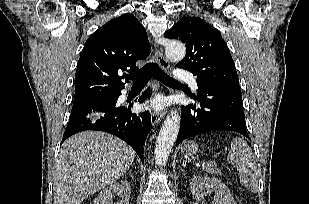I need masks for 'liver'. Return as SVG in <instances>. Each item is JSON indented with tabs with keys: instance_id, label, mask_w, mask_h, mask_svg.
I'll list each match as a JSON object with an SVG mask.
<instances>
[{
	"instance_id": "liver-1",
	"label": "liver",
	"mask_w": 309,
	"mask_h": 204,
	"mask_svg": "<svg viewBox=\"0 0 309 204\" xmlns=\"http://www.w3.org/2000/svg\"><path fill=\"white\" fill-rule=\"evenodd\" d=\"M135 156L129 145L108 133L73 135L62 144L54 166V204H81L125 174Z\"/></svg>"
}]
</instances>
